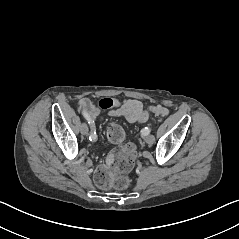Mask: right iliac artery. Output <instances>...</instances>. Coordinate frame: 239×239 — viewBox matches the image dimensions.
Returning <instances> with one entry per match:
<instances>
[{
  "instance_id": "right-iliac-artery-1",
  "label": "right iliac artery",
  "mask_w": 239,
  "mask_h": 239,
  "mask_svg": "<svg viewBox=\"0 0 239 239\" xmlns=\"http://www.w3.org/2000/svg\"><path fill=\"white\" fill-rule=\"evenodd\" d=\"M82 114H83V116L86 118V120H88V123H90V119H89L88 114L85 113V112H83ZM89 139H90L91 141H96V140H97V135H96L95 130H91Z\"/></svg>"
}]
</instances>
